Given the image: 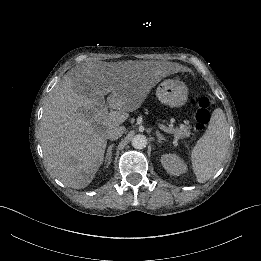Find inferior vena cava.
Returning a JSON list of instances; mask_svg holds the SVG:
<instances>
[{
	"instance_id": "obj_1",
	"label": "inferior vena cava",
	"mask_w": 261,
	"mask_h": 261,
	"mask_svg": "<svg viewBox=\"0 0 261 261\" xmlns=\"http://www.w3.org/2000/svg\"><path fill=\"white\" fill-rule=\"evenodd\" d=\"M125 132V127L119 126L114 127L107 132V137L110 140H117L119 139Z\"/></svg>"
}]
</instances>
